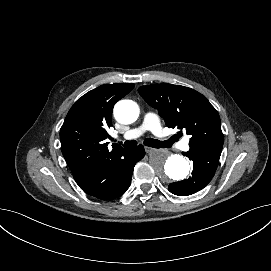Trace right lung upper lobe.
Segmentation results:
<instances>
[{"label": "right lung upper lobe", "mask_w": 271, "mask_h": 271, "mask_svg": "<svg viewBox=\"0 0 271 271\" xmlns=\"http://www.w3.org/2000/svg\"><path fill=\"white\" fill-rule=\"evenodd\" d=\"M133 88L132 83L101 85L79 98L69 110L60 129V141L74 178L110 152L104 140L110 138L106 129L112 126L113 106Z\"/></svg>", "instance_id": "right-lung-upper-lobe-1"}]
</instances>
